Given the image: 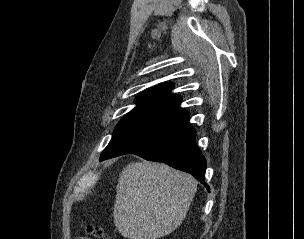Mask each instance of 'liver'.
Here are the masks:
<instances>
[{"label":"liver","mask_w":304,"mask_h":239,"mask_svg":"<svg viewBox=\"0 0 304 239\" xmlns=\"http://www.w3.org/2000/svg\"><path fill=\"white\" fill-rule=\"evenodd\" d=\"M197 190L191 175L148 161L123 168L116 188L114 225L128 239H157L185 219Z\"/></svg>","instance_id":"6515ba94"}]
</instances>
